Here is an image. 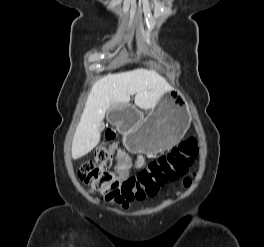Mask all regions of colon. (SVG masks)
<instances>
[{
    "label": "colon",
    "mask_w": 264,
    "mask_h": 247,
    "mask_svg": "<svg viewBox=\"0 0 264 247\" xmlns=\"http://www.w3.org/2000/svg\"><path fill=\"white\" fill-rule=\"evenodd\" d=\"M115 138V131L107 128L102 144L95 151L94 161L83 162L79 168V176L93 192L100 193L105 199L122 207L134 200L154 195L168 182L184 176L199 153L196 138H190L173 148L167 155L152 160L136 175H130L125 160L112 168L110 144ZM192 182L193 175L186 176L183 186L188 188Z\"/></svg>",
    "instance_id": "5ec220e1"
}]
</instances>
